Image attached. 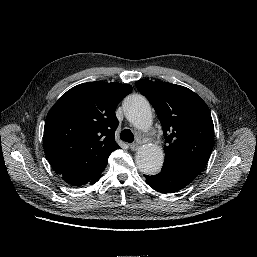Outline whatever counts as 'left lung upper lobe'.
<instances>
[{
    "mask_svg": "<svg viewBox=\"0 0 257 257\" xmlns=\"http://www.w3.org/2000/svg\"><path fill=\"white\" fill-rule=\"evenodd\" d=\"M135 85L161 122L166 143L164 163L198 176L214 146V126L207 104L180 85L151 80H139Z\"/></svg>",
    "mask_w": 257,
    "mask_h": 257,
    "instance_id": "5c2ea615",
    "label": "left lung upper lobe"
}]
</instances>
